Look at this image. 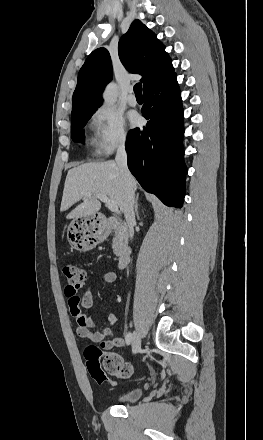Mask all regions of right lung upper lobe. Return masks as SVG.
Wrapping results in <instances>:
<instances>
[{
	"label": "right lung upper lobe",
	"mask_w": 263,
	"mask_h": 440,
	"mask_svg": "<svg viewBox=\"0 0 263 440\" xmlns=\"http://www.w3.org/2000/svg\"><path fill=\"white\" fill-rule=\"evenodd\" d=\"M118 53L127 70L142 75L143 91L174 72L165 46L139 20L120 39ZM111 80L110 54L106 48H98L88 56L78 74L72 117L96 111L102 103L101 93Z\"/></svg>",
	"instance_id": "cb5924a9"
}]
</instances>
